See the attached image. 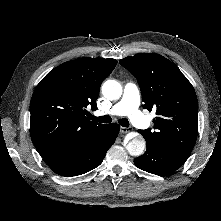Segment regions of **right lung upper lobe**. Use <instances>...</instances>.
<instances>
[{
	"mask_svg": "<svg viewBox=\"0 0 221 221\" xmlns=\"http://www.w3.org/2000/svg\"><path fill=\"white\" fill-rule=\"evenodd\" d=\"M115 59L79 58L50 71L37 85L30 103L31 139L45 162L90 144L105 125L85 116L97 109L102 81Z\"/></svg>",
	"mask_w": 221,
	"mask_h": 221,
	"instance_id": "obj_1",
	"label": "right lung upper lobe"
}]
</instances>
